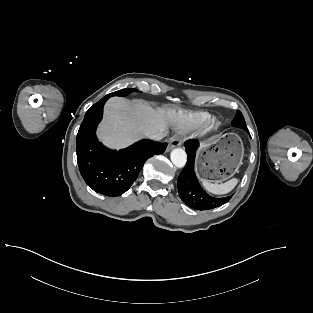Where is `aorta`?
Masks as SVG:
<instances>
[{
	"instance_id": "obj_1",
	"label": "aorta",
	"mask_w": 313,
	"mask_h": 313,
	"mask_svg": "<svg viewBox=\"0 0 313 313\" xmlns=\"http://www.w3.org/2000/svg\"><path fill=\"white\" fill-rule=\"evenodd\" d=\"M170 158L174 166L182 168L187 162V154L182 148H175L171 151Z\"/></svg>"
}]
</instances>
